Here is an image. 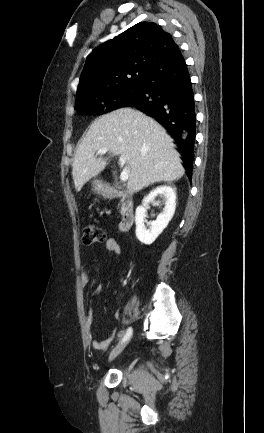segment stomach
Masks as SVG:
<instances>
[{
    "label": "stomach",
    "mask_w": 264,
    "mask_h": 433,
    "mask_svg": "<svg viewBox=\"0 0 264 433\" xmlns=\"http://www.w3.org/2000/svg\"><path fill=\"white\" fill-rule=\"evenodd\" d=\"M105 185L100 181L92 182V191L97 194H101L104 191Z\"/></svg>",
    "instance_id": "stomach-1"
}]
</instances>
